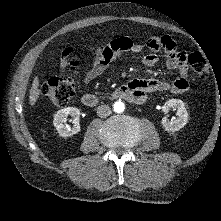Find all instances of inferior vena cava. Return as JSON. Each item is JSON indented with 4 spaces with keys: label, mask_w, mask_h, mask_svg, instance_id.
I'll return each mask as SVG.
<instances>
[{
    "label": "inferior vena cava",
    "mask_w": 221,
    "mask_h": 221,
    "mask_svg": "<svg viewBox=\"0 0 221 221\" xmlns=\"http://www.w3.org/2000/svg\"><path fill=\"white\" fill-rule=\"evenodd\" d=\"M111 114V109L108 105H100L97 107V115L101 118H106Z\"/></svg>",
    "instance_id": "obj_1"
}]
</instances>
